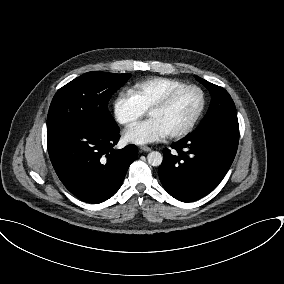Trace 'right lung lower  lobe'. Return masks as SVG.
<instances>
[{"instance_id":"obj_1","label":"right lung lower lobe","mask_w":284,"mask_h":284,"mask_svg":"<svg viewBox=\"0 0 284 284\" xmlns=\"http://www.w3.org/2000/svg\"><path fill=\"white\" fill-rule=\"evenodd\" d=\"M119 128L114 132L70 130L47 138L50 160L65 187L87 203H101L121 187L137 147L115 150Z\"/></svg>"}]
</instances>
